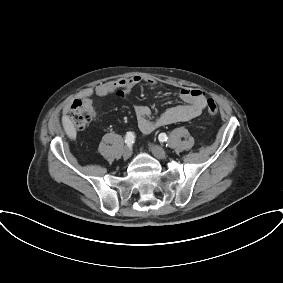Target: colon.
I'll return each mask as SVG.
<instances>
[{"label": "colon", "instance_id": "5ec220e1", "mask_svg": "<svg viewBox=\"0 0 283 283\" xmlns=\"http://www.w3.org/2000/svg\"><path fill=\"white\" fill-rule=\"evenodd\" d=\"M207 112L211 116L218 113V107L212 99L207 101ZM93 113L91 105L86 104L82 100H76L66 111V120L75 129L83 130L91 122Z\"/></svg>", "mask_w": 283, "mask_h": 283}]
</instances>
